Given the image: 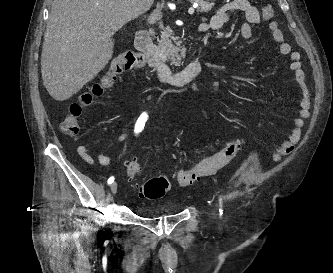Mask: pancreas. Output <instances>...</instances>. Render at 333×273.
<instances>
[{"label":"pancreas","mask_w":333,"mask_h":273,"mask_svg":"<svg viewBox=\"0 0 333 273\" xmlns=\"http://www.w3.org/2000/svg\"><path fill=\"white\" fill-rule=\"evenodd\" d=\"M198 3L199 12H208L212 9L213 4L204 0H192ZM174 42L176 46L172 43ZM181 42L178 37H174L171 30L164 29L161 33V40L157 46L158 52L161 57L165 60H169L171 65L179 66L181 64L182 58L185 57L184 50H181ZM180 53V54H179Z\"/></svg>","instance_id":"obj_1"}]
</instances>
